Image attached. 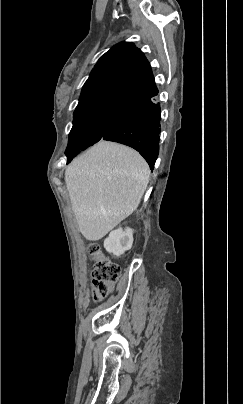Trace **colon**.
Here are the masks:
<instances>
[{
  "label": "colon",
  "instance_id": "obj_1",
  "mask_svg": "<svg viewBox=\"0 0 243 404\" xmlns=\"http://www.w3.org/2000/svg\"><path fill=\"white\" fill-rule=\"evenodd\" d=\"M89 251L94 258L92 270V292L95 300H102L110 295L114 283L120 277V266L104 257L99 246L92 244Z\"/></svg>",
  "mask_w": 243,
  "mask_h": 404
}]
</instances>
